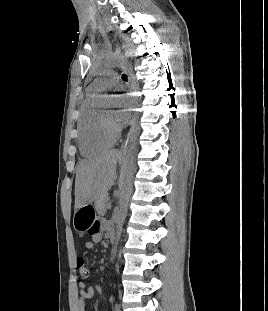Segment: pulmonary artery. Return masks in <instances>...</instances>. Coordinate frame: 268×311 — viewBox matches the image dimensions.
<instances>
[{
    "instance_id": "1",
    "label": "pulmonary artery",
    "mask_w": 268,
    "mask_h": 311,
    "mask_svg": "<svg viewBox=\"0 0 268 311\" xmlns=\"http://www.w3.org/2000/svg\"><path fill=\"white\" fill-rule=\"evenodd\" d=\"M119 81V77L113 71L105 72L102 77L97 78L93 84L92 89L94 90H104L107 88L114 87Z\"/></svg>"
}]
</instances>
